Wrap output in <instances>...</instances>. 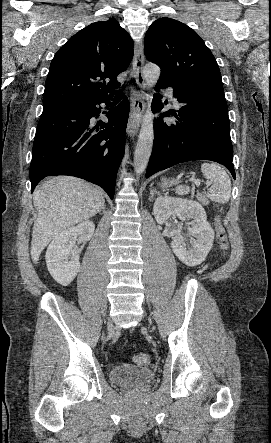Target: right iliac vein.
<instances>
[{"instance_id":"obj_1","label":"right iliac vein","mask_w":271,"mask_h":443,"mask_svg":"<svg viewBox=\"0 0 271 443\" xmlns=\"http://www.w3.org/2000/svg\"><path fill=\"white\" fill-rule=\"evenodd\" d=\"M107 328H108V336H109V338L113 337V335L115 333V327H114V325H113V323L111 321H108Z\"/></svg>"}]
</instances>
